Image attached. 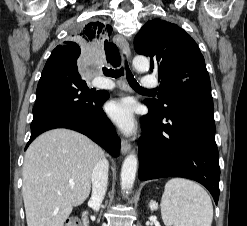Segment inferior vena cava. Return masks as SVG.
<instances>
[{
	"label": "inferior vena cava",
	"mask_w": 247,
	"mask_h": 226,
	"mask_svg": "<svg viewBox=\"0 0 247 226\" xmlns=\"http://www.w3.org/2000/svg\"><path fill=\"white\" fill-rule=\"evenodd\" d=\"M108 161L102 158L97 162L91 176L92 194L90 205L94 211H98L104 199L108 184Z\"/></svg>",
	"instance_id": "602c4592"
}]
</instances>
